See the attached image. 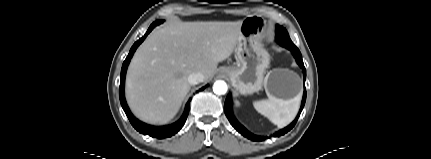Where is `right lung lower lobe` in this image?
<instances>
[{
    "instance_id": "right-lung-lower-lobe-1",
    "label": "right lung lower lobe",
    "mask_w": 431,
    "mask_h": 159,
    "mask_svg": "<svg viewBox=\"0 0 431 159\" xmlns=\"http://www.w3.org/2000/svg\"><path fill=\"white\" fill-rule=\"evenodd\" d=\"M156 25H158L157 22H154L153 24H151V26L149 27L146 34L142 38H140L137 42H135V44L130 49V52H129L127 58L125 59L123 65H122V69H121V81H120V88H119V97H120V102H121L123 110L125 111L130 123L133 125V127L137 131H139L142 134L149 135L151 137L163 139L166 137H171L172 135L176 134L183 127V125L185 124V121L187 119V116L189 114V106H190L191 99H189V101L187 102L186 107H185V111H184L182 117L177 122H175L171 125H167V126H151V125H148V124H145V123L139 121L138 119H136L132 115V113L130 112V110L127 106L125 96H124L125 75H126V70H127L128 64L130 62V59L132 58L136 48L143 42L145 37L151 32V30ZM204 88L205 87L201 88L200 90L202 91Z\"/></svg>"
}]
</instances>
